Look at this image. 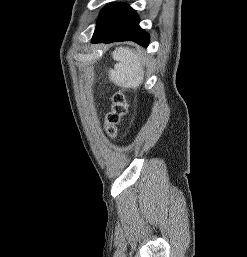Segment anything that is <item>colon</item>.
<instances>
[{"label":"colon","mask_w":247,"mask_h":257,"mask_svg":"<svg viewBox=\"0 0 247 257\" xmlns=\"http://www.w3.org/2000/svg\"><path fill=\"white\" fill-rule=\"evenodd\" d=\"M128 113V99L122 92H116L112 96V104L105 117V132L111 138L118 132V126L123 117Z\"/></svg>","instance_id":"obj_1"}]
</instances>
